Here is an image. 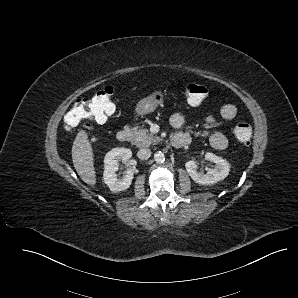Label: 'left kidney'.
I'll return each instance as SVG.
<instances>
[{"mask_svg":"<svg viewBox=\"0 0 298 298\" xmlns=\"http://www.w3.org/2000/svg\"><path fill=\"white\" fill-rule=\"evenodd\" d=\"M206 160L216 164L214 168H209L206 173H199L197 171V162H186V170L191 178L199 184H214L219 180L227 177L230 172V164L222 157L212 153L206 152L204 155Z\"/></svg>","mask_w":298,"mask_h":298,"instance_id":"left-kidney-1","label":"left kidney"}]
</instances>
